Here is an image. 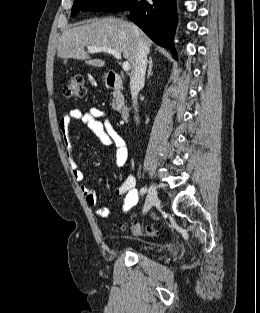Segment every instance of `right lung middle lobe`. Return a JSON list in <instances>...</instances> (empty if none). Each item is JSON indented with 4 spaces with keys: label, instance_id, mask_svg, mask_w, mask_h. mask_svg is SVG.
I'll list each match as a JSON object with an SVG mask.
<instances>
[{
    "label": "right lung middle lobe",
    "instance_id": "dd1d6c3e",
    "mask_svg": "<svg viewBox=\"0 0 260 313\" xmlns=\"http://www.w3.org/2000/svg\"><path fill=\"white\" fill-rule=\"evenodd\" d=\"M126 0H75L72 7V17L83 11L112 12L119 8Z\"/></svg>",
    "mask_w": 260,
    "mask_h": 313
}]
</instances>
